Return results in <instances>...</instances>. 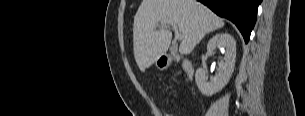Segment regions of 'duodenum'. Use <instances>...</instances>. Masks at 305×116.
<instances>
[{
	"label": "duodenum",
	"mask_w": 305,
	"mask_h": 116,
	"mask_svg": "<svg viewBox=\"0 0 305 116\" xmlns=\"http://www.w3.org/2000/svg\"><path fill=\"white\" fill-rule=\"evenodd\" d=\"M163 60L165 62H169L170 61V58L168 56H164L163 57ZM182 64H183V67L185 68L186 70V73L188 75V78L191 79L192 78V74H193V70H192V66H191V63L187 60V59H183L182 60Z\"/></svg>",
	"instance_id": "410a0bca"
}]
</instances>
